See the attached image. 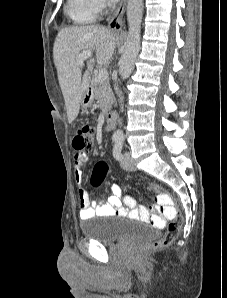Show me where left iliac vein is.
<instances>
[{
    "label": "left iliac vein",
    "mask_w": 227,
    "mask_h": 298,
    "mask_svg": "<svg viewBox=\"0 0 227 298\" xmlns=\"http://www.w3.org/2000/svg\"><path fill=\"white\" fill-rule=\"evenodd\" d=\"M121 166L125 170H134L135 166L133 165L130 152L126 151L121 160Z\"/></svg>",
    "instance_id": "obj_1"
}]
</instances>
